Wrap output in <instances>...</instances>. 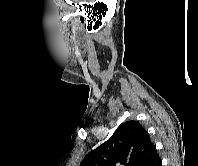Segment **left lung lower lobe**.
<instances>
[{
    "label": "left lung lower lobe",
    "instance_id": "0a47b994",
    "mask_svg": "<svg viewBox=\"0 0 198 166\" xmlns=\"http://www.w3.org/2000/svg\"><path fill=\"white\" fill-rule=\"evenodd\" d=\"M148 166H162V162L158 154H156Z\"/></svg>",
    "mask_w": 198,
    "mask_h": 166
}]
</instances>
